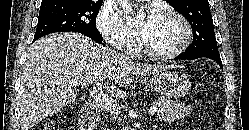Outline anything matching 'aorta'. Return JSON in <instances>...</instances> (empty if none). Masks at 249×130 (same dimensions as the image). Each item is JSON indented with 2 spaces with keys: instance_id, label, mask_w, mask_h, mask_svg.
<instances>
[{
  "instance_id": "762f6f07",
  "label": "aorta",
  "mask_w": 249,
  "mask_h": 130,
  "mask_svg": "<svg viewBox=\"0 0 249 130\" xmlns=\"http://www.w3.org/2000/svg\"><path fill=\"white\" fill-rule=\"evenodd\" d=\"M120 6L121 8H123L125 14H126V18L127 20H132V17H130V13L132 11L131 5L128 2V0H121L120 1Z\"/></svg>"
}]
</instances>
